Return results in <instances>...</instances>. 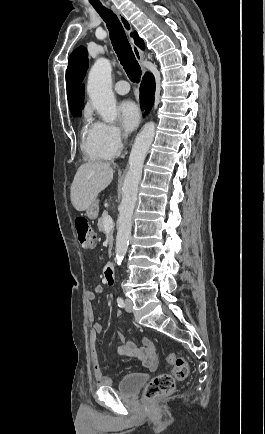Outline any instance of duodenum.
<instances>
[{"mask_svg":"<svg viewBox=\"0 0 265 434\" xmlns=\"http://www.w3.org/2000/svg\"><path fill=\"white\" fill-rule=\"evenodd\" d=\"M114 269H115V267L112 263H108L105 266L104 280L107 284H114L115 283Z\"/></svg>","mask_w":265,"mask_h":434,"instance_id":"duodenum-1","label":"duodenum"}]
</instances>
